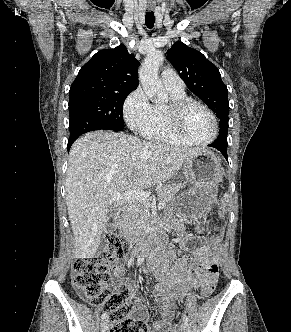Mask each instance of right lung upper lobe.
Here are the masks:
<instances>
[{"label": "right lung upper lobe", "mask_w": 291, "mask_h": 332, "mask_svg": "<svg viewBox=\"0 0 291 332\" xmlns=\"http://www.w3.org/2000/svg\"><path fill=\"white\" fill-rule=\"evenodd\" d=\"M138 86V62L121 44L97 52L79 71L70 98L102 92H132Z\"/></svg>", "instance_id": "1"}]
</instances>
